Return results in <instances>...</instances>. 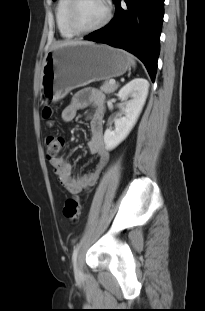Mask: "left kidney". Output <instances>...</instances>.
<instances>
[{
	"instance_id": "obj_1",
	"label": "left kidney",
	"mask_w": 205,
	"mask_h": 311,
	"mask_svg": "<svg viewBox=\"0 0 205 311\" xmlns=\"http://www.w3.org/2000/svg\"><path fill=\"white\" fill-rule=\"evenodd\" d=\"M148 89L149 82L144 78H135L120 89L117 96L125 102L124 116L114 119V130L105 131L104 142L107 150L114 149L128 136L145 104Z\"/></svg>"
}]
</instances>
